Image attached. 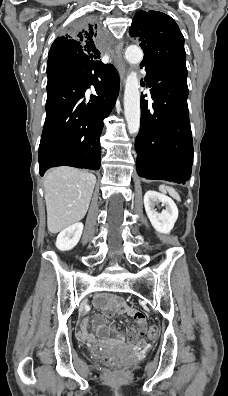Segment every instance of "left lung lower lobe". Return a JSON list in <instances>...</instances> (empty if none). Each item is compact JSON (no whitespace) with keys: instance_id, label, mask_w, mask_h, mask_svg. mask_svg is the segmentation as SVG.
<instances>
[{"instance_id":"0a47b994","label":"left lung lower lobe","mask_w":228,"mask_h":396,"mask_svg":"<svg viewBox=\"0 0 228 396\" xmlns=\"http://www.w3.org/2000/svg\"><path fill=\"white\" fill-rule=\"evenodd\" d=\"M153 103L141 96L136 169L145 179L185 184L191 176L193 140L186 80L165 68H145ZM145 85V84H144Z\"/></svg>"}]
</instances>
